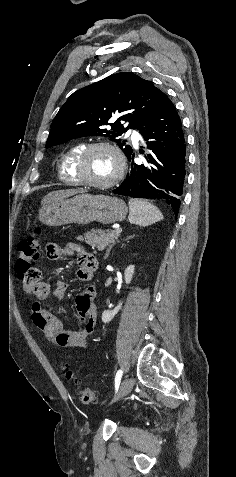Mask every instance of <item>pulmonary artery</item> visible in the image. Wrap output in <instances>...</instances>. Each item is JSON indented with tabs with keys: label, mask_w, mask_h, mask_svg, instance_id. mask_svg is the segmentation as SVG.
Segmentation results:
<instances>
[{
	"label": "pulmonary artery",
	"mask_w": 236,
	"mask_h": 477,
	"mask_svg": "<svg viewBox=\"0 0 236 477\" xmlns=\"http://www.w3.org/2000/svg\"><path fill=\"white\" fill-rule=\"evenodd\" d=\"M132 139H133L134 142L137 143V142L140 141L141 138H140V136H138V135H134V136L132 137Z\"/></svg>",
	"instance_id": "obj_1"
}]
</instances>
